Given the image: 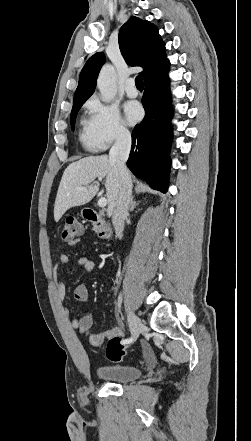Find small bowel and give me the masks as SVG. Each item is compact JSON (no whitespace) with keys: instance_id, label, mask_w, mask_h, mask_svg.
Masks as SVG:
<instances>
[{"instance_id":"small-bowel-1","label":"small bowel","mask_w":251,"mask_h":441,"mask_svg":"<svg viewBox=\"0 0 251 441\" xmlns=\"http://www.w3.org/2000/svg\"><path fill=\"white\" fill-rule=\"evenodd\" d=\"M78 243V240L71 241L72 245ZM70 262V257L68 254H61L59 257V262L53 268V276L55 279L57 295L61 300H65L67 297L66 286L63 280L58 276V264H67ZM78 267L82 269L83 272L89 273L94 269V262L87 257H79L76 261ZM74 298L77 301L86 303L89 299L88 289L84 284H79L74 289ZM71 325L74 329L78 330L80 334L87 337L90 344L95 347L102 345L106 338L120 337L122 335V330L117 325H112L109 329L100 332H93V317L90 312H86L81 317H72ZM146 358L148 361L154 360V355L152 352L148 351L146 353Z\"/></svg>"}]
</instances>
